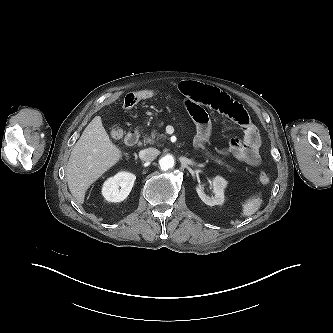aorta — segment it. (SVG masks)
<instances>
[{
	"label": "aorta",
	"instance_id": "obj_1",
	"mask_svg": "<svg viewBox=\"0 0 333 333\" xmlns=\"http://www.w3.org/2000/svg\"><path fill=\"white\" fill-rule=\"evenodd\" d=\"M174 163H175L174 157L170 154L163 156L159 160V165L162 171H167L169 169H172L174 167Z\"/></svg>",
	"mask_w": 333,
	"mask_h": 333
}]
</instances>
